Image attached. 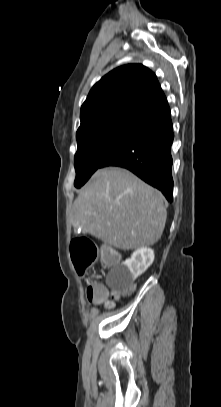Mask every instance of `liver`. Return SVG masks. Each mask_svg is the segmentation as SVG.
Wrapping results in <instances>:
<instances>
[{"label": "liver", "instance_id": "1", "mask_svg": "<svg viewBox=\"0 0 221 407\" xmlns=\"http://www.w3.org/2000/svg\"><path fill=\"white\" fill-rule=\"evenodd\" d=\"M167 203L162 193L130 171L97 170L74 202L76 224L122 250L155 244L162 236Z\"/></svg>", "mask_w": 221, "mask_h": 407}]
</instances>
